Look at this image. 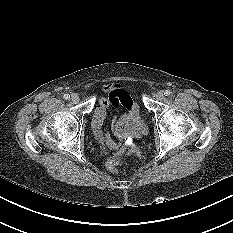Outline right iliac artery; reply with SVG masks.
Listing matches in <instances>:
<instances>
[{"label":"right iliac artery","mask_w":233,"mask_h":233,"mask_svg":"<svg viewBox=\"0 0 233 233\" xmlns=\"http://www.w3.org/2000/svg\"><path fill=\"white\" fill-rule=\"evenodd\" d=\"M63 97H64L65 100H68L70 98V95L69 94H64Z\"/></svg>","instance_id":"1"}]
</instances>
